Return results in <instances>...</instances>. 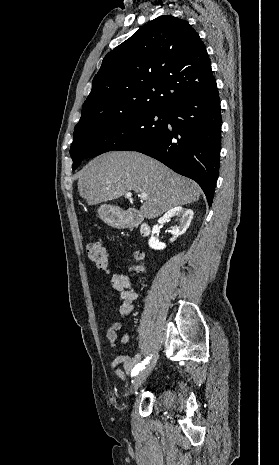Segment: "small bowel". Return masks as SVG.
I'll return each instance as SVG.
<instances>
[{"label":"small bowel","mask_w":279,"mask_h":465,"mask_svg":"<svg viewBox=\"0 0 279 465\" xmlns=\"http://www.w3.org/2000/svg\"><path fill=\"white\" fill-rule=\"evenodd\" d=\"M110 286L122 301L117 308L119 316L121 318L126 317L132 311L135 301L138 298V293L134 290L131 279L123 273H115L111 276ZM121 327V322H115L106 332V337L112 348H116L118 331ZM120 341L123 346H127L130 341L129 335L123 333ZM141 358V354H136L133 357L118 354L112 360L111 367L118 378L126 380L129 375L132 374L133 369L140 364ZM120 365H122V368Z\"/></svg>","instance_id":"small-bowel-1"}]
</instances>
